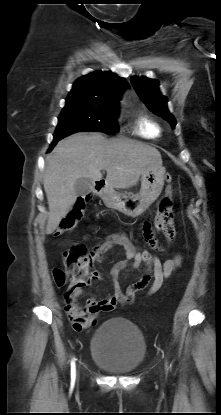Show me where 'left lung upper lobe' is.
<instances>
[{"instance_id":"1","label":"left lung upper lobe","mask_w":221,"mask_h":415,"mask_svg":"<svg viewBox=\"0 0 221 415\" xmlns=\"http://www.w3.org/2000/svg\"><path fill=\"white\" fill-rule=\"evenodd\" d=\"M131 83L146 106L174 128L176 121L167 108V98L160 93L159 82L147 77H132Z\"/></svg>"}]
</instances>
